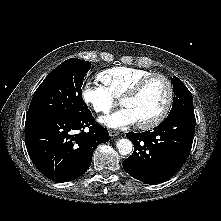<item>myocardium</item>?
<instances>
[{
  "mask_svg": "<svg viewBox=\"0 0 221 221\" xmlns=\"http://www.w3.org/2000/svg\"><path fill=\"white\" fill-rule=\"evenodd\" d=\"M161 79L165 82L167 88H168V96H167V100L165 102L164 107L162 108V110L160 111V113L154 117L153 119L147 121V122H141V123H137V126L140 129H152L156 126H158L159 124H161L166 117L168 116L170 109L172 107L173 101H174V86L173 83L171 82V80L164 74L161 73H151L149 75H146L144 77H142L141 79H139L131 88L129 91H127L122 97H121V105L123 104V102L125 100H129V99H133L135 97H137L140 92L142 91V89L144 88V86L151 81L152 79Z\"/></svg>",
  "mask_w": 221,
  "mask_h": 221,
  "instance_id": "1",
  "label": "myocardium"
}]
</instances>
